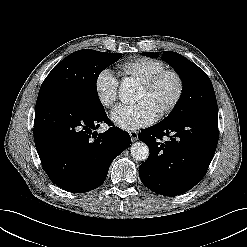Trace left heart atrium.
Returning a JSON list of instances; mask_svg holds the SVG:
<instances>
[{"label": "left heart atrium", "mask_w": 247, "mask_h": 247, "mask_svg": "<svg viewBox=\"0 0 247 247\" xmlns=\"http://www.w3.org/2000/svg\"><path fill=\"white\" fill-rule=\"evenodd\" d=\"M157 117L158 113L145 100L132 106L119 105L113 109L110 115L112 122L124 130L150 125Z\"/></svg>", "instance_id": "1"}]
</instances>
